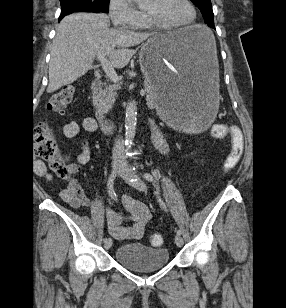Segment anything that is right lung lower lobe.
I'll return each mask as SVG.
<instances>
[{
  "mask_svg": "<svg viewBox=\"0 0 286 308\" xmlns=\"http://www.w3.org/2000/svg\"><path fill=\"white\" fill-rule=\"evenodd\" d=\"M65 15H60V17H59V21L64 17Z\"/></svg>",
  "mask_w": 286,
  "mask_h": 308,
  "instance_id": "right-lung-lower-lobe-1",
  "label": "right lung lower lobe"
}]
</instances>
